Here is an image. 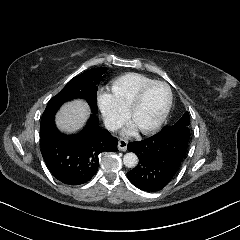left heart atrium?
Instances as JSON below:
<instances>
[{"instance_id": "39dd6f15", "label": "left heart atrium", "mask_w": 240, "mask_h": 240, "mask_svg": "<svg viewBox=\"0 0 240 240\" xmlns=\"http://www.w3.org/2000/svg\"><path fill=\"white\" fill-rule=\"evenodd\" d=\"M136 130H137L136 126L134 124H132L128 129H126L124 131V133L129 135V134H132Z\"/></svg>"}]
</instances>
